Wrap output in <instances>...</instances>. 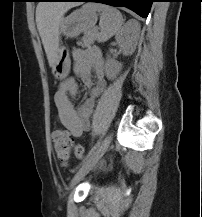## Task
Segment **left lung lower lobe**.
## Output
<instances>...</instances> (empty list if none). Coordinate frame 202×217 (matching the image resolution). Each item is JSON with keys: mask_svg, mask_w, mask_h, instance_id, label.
<instances>
[{"mask_svg": "<svg viewBox=\"0 0 202 217\" xmlns=\"http://www.w3.org/2000/svg\"><path fill=\"white\" fill-rule=\"evenodd\" d=\"M49 1V0H48ZM53 1H73V2H98L111 6H123L146 18L150 12L152 3L155 0H53Z\"/></svg>", "mask_w": 202, "mask_h": 217, "instance_id": "0a47b994", "label": "left lung lower lobe"}]
</instances>
